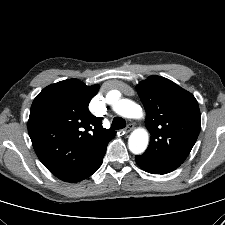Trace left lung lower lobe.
I'll return each instance as SVG.
<instances>
[{
	"label": "left lung lower lobe",
	"mask_w": 225,
	"mask_h": 225,
	"mask_svg": "<svg viewBox=\"0 0 225 225\" xmlns=\"http://www.w3.org/2000/svg\"><path fill=\"white\" fill-rule=\"evenodd\" d=\"M137 164L146 172L152 174H167L176 169L148 155L142 154L135 157Z\"/></svg>",
	"instance_id": "left-lung-lower-lobe-1"
}]
</instances>
